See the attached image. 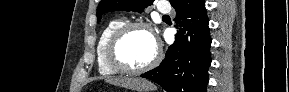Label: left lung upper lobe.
Here are the masks:
<instances>
[{
  "instance_id": "1",
  "label": "left lung upper lobe",
  "mask_w": 289,
  "mask_h": 92,
  "mask_svg": "<svg viewBox=\"0 0 289 92\" xmlns=\"http://www.w3.org/2000/svg\"><path fill=\"white\" fill-rule=\"evenodd\" d=\"M154 0H101L97 8V21L101 20L104 13L124 10L142 12L151 5ZM173 2L174 0H169Z\"/></svg>"
}]
</instances>
